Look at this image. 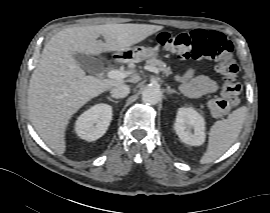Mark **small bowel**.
<instances>
[{"instance_id":"c3829d8e","label":"small bowel","mask_w":270,"mask_h":213,"mask_svg":"<svg viewBox=\"0 0 270 213\" xmlns=\"http://www.w3.org/2000/svg\"><path fill=\"white\" fill-rule=\"evenodd\" d=\"M182 92L191 98L214 93L217 89L216 82L205 75H195V69H189L183 75L177 76Z\"/></svg>"}]
</instances>
